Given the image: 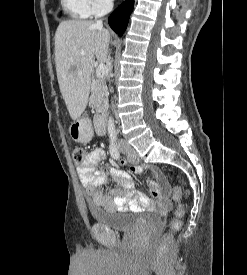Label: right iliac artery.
Returning a JSON list of instances; mask_svg holds the SVG:
<instances>
[{
  "mask_svg": "<svg viewBox=\"0 0 247 275\" xmlns=\"http://www.w3.org/2000/svg\"><path fill=\"white\" fill-rule=\"evenodd\" d=\"M110 154L114 159L119 158V152H118L117 147L114 143H111V145H110Z\"/></svg>",
  "mask_w": 247,
  "mask_h": 275,
  "instance_id": "obj_1",
  "label": "right iliac artery"
}]
</instances>
